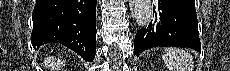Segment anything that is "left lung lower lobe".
<instances>
[{
    "label": "left lung lower lobe",
    "mask_w": 230,
    "mask_h": 71,
    "mask_svg": "<svg viewBox=\"0 0 230 71\" xmlns=\"http://www.w3.org/2000/svg\"><path fill=\"white\" fill-rule=\"evenodd\" d=\"M153 16L147 28L137 30L134 55L157 46L190 47L201 51L194 0H157Z\"/></svg>",
    "instance_id": "left-lung-lower-lobe-1"
}]
</instances>
